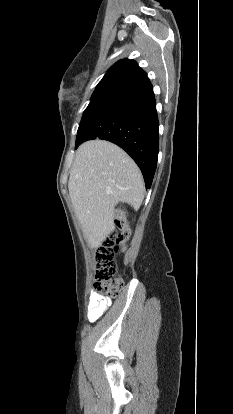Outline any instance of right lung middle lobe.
<instances>
[{
    "instance_id": "right-lung-middle-lobe-1",
    "label": "right lung middle lobe",
    "mask_w": 233,
    "mask_h": 414,
    "mask_svg": "<svg viewBox=\"0 0 233 414\" xmlns=\"http://www.w3.org/2000/svg\"><path fill=\"white\" fill-rule=\"evenodd\" d=\"M133 83V80L124 79L118 76L103 77V79L97 85L94 93L92 94L90 103L83 113L82 120L89 112V110H91L94 106L104 101L105 99L126 90Z\"/></svg>"
}]
</instances>
